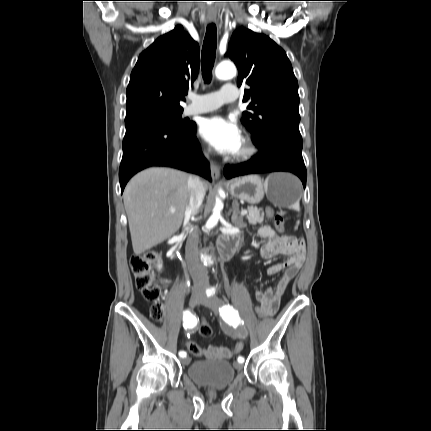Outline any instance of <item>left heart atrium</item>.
Segmentation results:
<instances>
[{
	"mask_svg": "<svg viewBox=\"0 0 431 431\" xmlns=\"http://www.w3.org/2000/svg\"><path fill=\"white\" fill-rule=\"evenodd\" d=\"M199 133L205 141L223 153H237L242 146V135L237 125L221 116L203 119Z\"/></svg>",
	"mask_w": 431,
	"mask_h": 431,
	"instance_id": "39dd6f15",
	"label": "left heart atrium"
}]
</instances>
